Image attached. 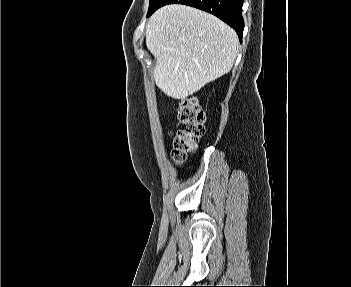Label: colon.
Instances as JSON below:
<instances>
[{
	"label": "colon",
	"mask_w": 351,
	"mask_h": 287,
	"mask_svg": "<svg viewBox=\"0 0 351 287\" xmlns=\"http://www.w3.org/2000/svg\"><path fill=\"white\" fill-rule=\"evenodd\" d=\"M178 120L173 156L178 164H183L205 132V115L196 98L190 97L180 102Z\"/></svg>",
	"instance_id": "1"
}]
</instances>
